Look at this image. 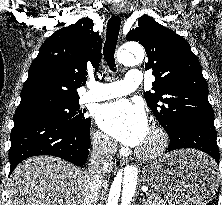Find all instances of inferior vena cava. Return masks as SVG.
<instances>
[{"label": "inferior vena cava", "mask_w": 222, "mask_h": 205, "mask_svg": "<svg viewBox=\"0 0 222 205\" xmlns=\"http://www.w3.org/2000/svg\"><path fill=\"white\" fill-rule=\"evenodd\" d=\"M116 143L107 138L96 140L88 163V181L81 205H96L102 180L113 169Z\"/></svg>", "instance_id": "obj_1"}]
</instances>
